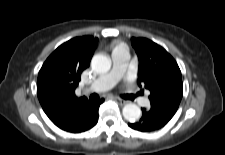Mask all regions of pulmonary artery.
<instances>
[{
	"instance_id": "1",
	"label": "pulmonary artery",
	"mask_w": 225,
	"mask_h": 155,
	"mask_svg": "<svg viewBox=\"0 0 225 155\" xmlns=\"http://www.w3.org/2000/svg\"><path fill=\"white\" fill-rule=\"evenodd\" d=\"M130 55L125 46H119L112 51L113 66L110 72L97 78L91 85L90 90L103 92L112 88L125 74ZM141 105H148L146 97L140 98Z\"/></svg>"
}]
</instances>
